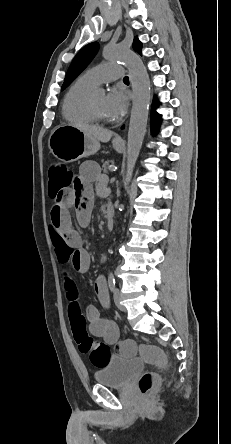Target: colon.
<instances>
[{
	"label": "colon",
	"mask_w": 231,
	"mask_h": 444,
	"mask_svg": "<svg viewBox=\"0 0 231 444\" xmlns=\"http://www.w3.org/2000/svg\"><path fill=\"white\" fill-rule=\"evenodd\" d=\"M49 195L54 204H58L66 188L75 184L74 173L63 163L55 162L49 167ZM72 335L78 345L80 352L89 357L90 362L101 368L107 364L111 356L110 347L102 342H95L87 332L86 318L82 313L79 302H72L69 309ZM118 349L133 351L136 345L131 340H125L118 345ZM139 352L144 360L162 367L165 365L163 351L154 345L142 344ZM159 383L158 376L153 372H145L139 379V389L143 394L150 393Z\"/></svg>",
	"instance_id": "1"
}]
</instances>
